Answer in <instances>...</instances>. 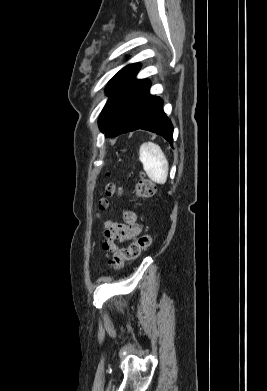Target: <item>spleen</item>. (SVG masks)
Returning a JSON list of instances; mask_svg holds the SVG:
<instances>
[{
    "label": "spleen",
    "mask_w": 267,
    "mask_h": 391,
    "mask_svg": "<svg viewBox=\"0 0 267 391\" xmlns=\"http://www.w3.org/2000/svg\"><path fill=\"white\" fill-rule=\"evenodd\" d=\"M139 160L147 176L157 184H164L168 177V161L162 149L153 142H145L140 146Z\"/></svg>",
    "instance_id": "3e777b00"
}]
</instances>
